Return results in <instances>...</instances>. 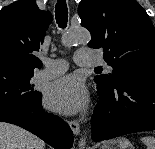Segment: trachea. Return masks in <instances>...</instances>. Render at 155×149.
Segmentation results:
<instances>
[{
    "mask_svg": "<svg viewBox=\"0 0 155 149\" xmlns=\"http://www.w3.org/2000/svg\"><path fill=\"white\" fill-rule=\"evenodd\" d=\"M55 18L60 28H65L68 21V9L65 0H58L55 6ZM97 67L96 69H99Z\"/></svg>",
    "mask_w": 155,
    "mask_h": 149,
    "instance_id": "3493384b",
    "label": "trachea"
}]
</instances>
